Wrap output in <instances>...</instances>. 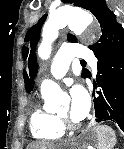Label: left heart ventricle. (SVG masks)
I'll return each instance as SVG.
<instances>
[{
    "instance_id": "left-heart-ventricle-1",
    "label": "left heart ventricle",
    "mask_w": 124,
    "mask_h": 149,
    "mask_svg": "<svg viewBox=\"0 0 124 149\" xmlns=\"http://www.w3.org/2000/svg\"><path fill=\"white\" fill-rule=\"evenodd\" d=\"M60 114L63 116L70 117V106L69 104L65 105L63 109L60 111ZM71 118V117H70ZM72 119V118H71ZM73 120V119H72ZM76 121V120H74Z\"/></svg>"
}]
</instances>
